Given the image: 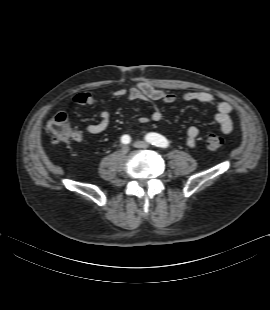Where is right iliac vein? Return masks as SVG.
I'll return each mask as SVG.
<instances>
[{"instance_id": "1", "label": "right iliac vein", "mask_w": 270, "mask_h": 310, "mask_svg": "<svg viewBox=\"0 0 270 310\" xmlns=\"http://www.w3.org/2000/svg\"><path fill=\"white\" fill-rule=\"evenodd\" d=\"M128 151H129V147H128L127 145H123V146L121 147V152H122L123 154H126Z\"/></svg>"}]
</instances>
